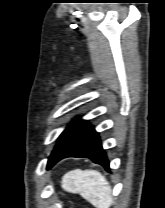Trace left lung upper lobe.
<instances>
[{
    "instance_id": "obj_1",
    "label": "left lung upper lobe",
    "mask_w": 165,
    "mask_h": 208,
    "mask_svg": "<svg viewBox=\"0 0 165 208\" xmlns=\"http://www.w3.org/2000/svg\"><path fill=\"white\" fill-rule=\"evenodd\" d=\"M86 123V120L75 119L67 126L59 136L58 143L48 159L47 169H50L54 164L62 159Z\"/></svg>"
}]
</instances>
